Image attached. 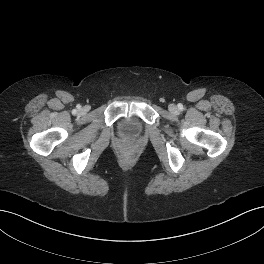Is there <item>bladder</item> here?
I'll use <instances>...</instances> for the list:
<instances>
[{"label": "bladder", "mask_w": 264, "mask_h": 264, "mask_svg": "<svg viewBox=\"0 0 264 264\" xmlns=\"http://www.w3.org/2000/svg\"><path fill=\"white\" fill-rule=\"evenodd\" d=\"M119 130L123 137L134 139L142 133L143 124L136 117L122 118L119 122Z\"/></svg>", "instance_id": "bladder-1"}]
</instances>
